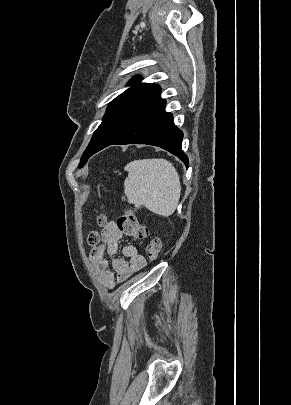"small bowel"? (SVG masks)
<instances>
[{"label": "small bowel", "mask_w": 291, "mask_h": 405, "mask_svg": "<svg viewBox=\"0 0 291 405\" xmlns=\"http://www.w3.org/2000/svg\"><path fill=\"white\" fill-rule=\"evenodd\" d=\"M101 236L102 242L91 250L90 260L100 284L111 290L117 283L127 280L134 273L143 269L146 261L132 244L123 246L121 256L117 255L123 233L115 222H108L103 227ZM106 255L112 257L111 266L106 260Z\"/></svg>", "instance_id": "1"}]
</instances>
